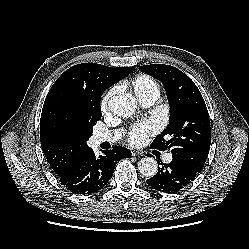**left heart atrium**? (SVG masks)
I'll list each match as a JSON object with an SVG mask.
<instances>
[{
  "instance_id": "39dd6f15",
  "label": "left heart atrium",
  "mask_w": 249,
  "mask_h": 249,
  "mask_svg": "<svg viewBox=\"0 0 249 249\" xmlns=\"http://www.w3.org/2000/svg\"><path fill=\"white\" fill-rule=\"evenodd\" d=\"M158 129L154 120H146L135 123L129 130L128 141L134 146H141L146 143L149 136Z\"/></svg>"
}]
</instances>
